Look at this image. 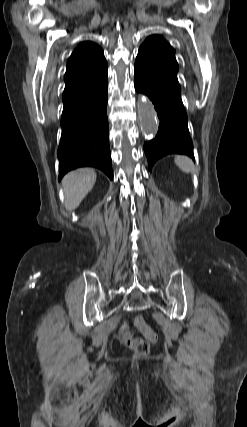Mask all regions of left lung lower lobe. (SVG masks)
<instances>
[{"instance_id":"1","label":"left lung lower lobe","mask_w":247,"mask_h":427,"mask_svg":"<svg viewBox=\"0 0 247 427\" xmlns=\"http://www.w3.org/2000/svg\"><path fill=\"white\" fill-rule=\"evenodd\" d=\"M134 86L147 95L155 106L160 119L156 137L144 144L149 169L168 154H182L194 160L187 114L183 106L180 87L172 84L141 59L136 58Z\"/></svg>"}]
</instances>
